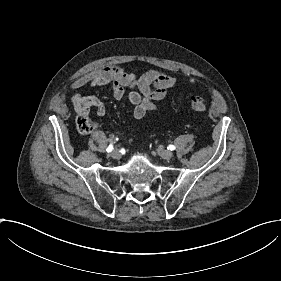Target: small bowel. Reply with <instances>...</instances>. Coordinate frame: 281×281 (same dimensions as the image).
<instances>
[{"mask_svg":"<svg viewBox=\"0 0 281 281\" xmlns=\"http://www.w3.org/2000/svg\"><path fill=\"white\" fill-rule=\"evenodd\" d=\"M86 85L111 86L113 98L120 101L127 97L134 106V116L141 118L147 112L156 110V102L176 85V79L160 70H150L136 76L121 67L105 66L77 79L71 87L78 90ZM126 88L130 90L127 95ZM71 102L76 112L82 115L87 114L90 107L96 108L99 115L106 112L103 100L97 96L84 97L76 93L71 97Z\"/></svg>","mask_w":281,"mask_h":281,"instance_id":"c3829d8e","label":"small bowel"}]
</instances>
